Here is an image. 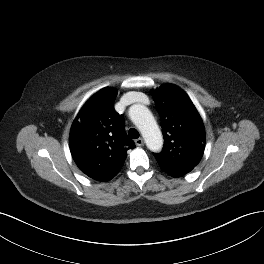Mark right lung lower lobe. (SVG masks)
Masks as SVG:
<instances>
[{"instance_id": "98d812e1", "label": "right lung lower lobe", "mask_w": 264, "mask_h": 264, "mask_svg": "<svg viewBox=\"0 0 264 264\" xmlns=\"http://www.w3.org/2000/svg\"><path fill=\"white\" fill-rule=\"evenodd\" d=\"M91 178L95 179V180H98V181H101L98 177H95V176H91ZM103 182V181H102Z\"/></svg>"}]
</instances>
